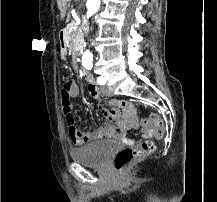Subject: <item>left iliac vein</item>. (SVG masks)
<instances>
[{
    "mask_svg": "<svg viewBox=\"0 0 217 202\" xmlns=\"http://www.w3.org/2000/svg\"><path fill=\"white\" fill-rule=\"evenodd\" d=\"M101 92L103 95H106V96L112 95V92L107 85H105L104 87H101Z\"/></svg>",
    "mask_w": 217,
    "mask_h": 202,
    "instance_id": "obj_1",
    "label": "left iliac vein"
}]
</instances>
